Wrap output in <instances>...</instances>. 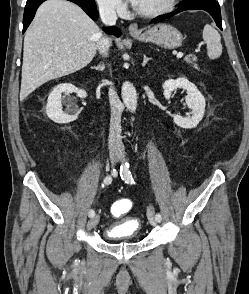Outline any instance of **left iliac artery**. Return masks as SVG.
Returning <instances> with one entry per match:
<instances>
[{"label":"left iliac artery","mask_w":249,"mask_h":294,"mask_svg":"<svg viewBox=\"0 0 249 294\" xmlns=\"http://www.w3.org/2000/svg\"><path fill=\"white\" fill-rule=\"evenodd\" d=\"M120 176L125 181V183H130V184L134 183L135 184V182L133 180V177L131 175V172L129 170V163L126 162L123 166H121ZM155 220L157 222H160L162 220V217H161L160 213H157L155 215Z\"/></svg>","instance_id":"obj_1"}]
</instances>
